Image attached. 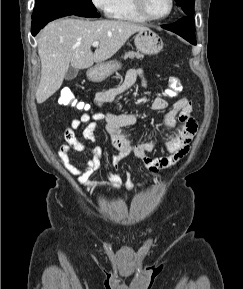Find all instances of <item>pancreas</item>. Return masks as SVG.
<instances>
[{"label": "pancreas", "instance_id": "pancreas-1", "mask_svg": "<svg viewBox=\"0 0 243 289\" xmlns=\"http://www.w3.org/2000/svg\"><path fill=\"white\" fill-rule=\"evenodd\" d=\"M144 56L142 54H140L139 52H134V51H129L127 53H125V55L122 57L123 59H133V58H137V59H142Z\"/></svg>", "mask_w": 243, "mask_h": 289}]
</instances>
